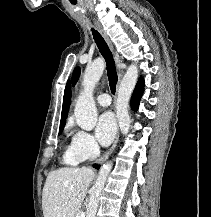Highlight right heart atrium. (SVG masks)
Returning <instances> with one entry per match:
<instances>
[{
  "mask_svg": "<svg viewBox=\"0 0 211 217\" xmlns=\"http://www.w3.org/2000/svg\"><path fill=\"white\" fill-rule=\"evenodd\" d=\"M71 144L75 152L83 160L93 159L100 152L95 138L84 130H77L73 133Z\"/></svg>",
  "mask_w": 211,
  "mask_h": 217,
  "instance_id": "obj_1",
  "label": "right heart atrium"
}]
</instances>
